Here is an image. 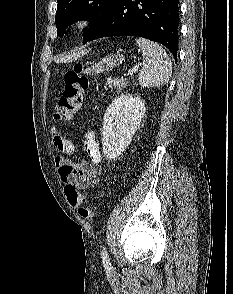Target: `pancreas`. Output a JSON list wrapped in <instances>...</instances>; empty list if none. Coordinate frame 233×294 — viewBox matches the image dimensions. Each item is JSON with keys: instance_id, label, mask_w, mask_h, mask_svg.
<instances>
[{"instance_id": "1", "label": "pancreas", "mask_w": 233, "mask_h": 294, "mask_svg": "<svg viewBox=\"0 0 233 294\" xmlns=\"http://www.w3.org/2000/svg\"><path fill=\"white\" fill-rule=\"evenodd\" d=\"M127 86V81L124 79H118V78H109L107 79L105 83V89L106 90H113L118 89L121 90Z\"/></svg>"}]
</instances>
